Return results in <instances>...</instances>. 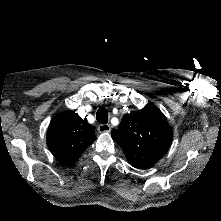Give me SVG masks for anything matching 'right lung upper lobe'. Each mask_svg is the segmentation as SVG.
I'll list each match as a JSON object with an SVG mask.
<instances>
[{"mask_svg":"<svg viewBox=\"0 0 221 221\" xmlns=\"http://www.w3.org/2000/svg\"><path fill=\"white\" fill-rule=\"evenodd\" d=\"M96 140L94 129L78 114L59 113L51 121L47 145L58 161L71 165Z\"/></svg>","mask_w":221,"mask_h":221,"instance_id":"1","label":"right lung upper lobe"}]
</instances>
